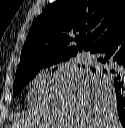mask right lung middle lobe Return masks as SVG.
<instances>
[{
    "instance_id": "right-lung-middle-lobe-1",
    "label": "right lung middle lobe",
    "mask_w": 125,
    "mask_h": 128,
    "mask_svg": "<svg viewBox=\"0 0 125 128\" xmlns=\"http://www.w3.org/2000/svg\"><path fill=\"white\" fill-rule=\"evenodd\" d=\"M70 59L52 58L49 60L34 63L24 69L18 70L15 75L13 96L19 93L29 81L41 70L49 68L51 66L60 65L63 62L69 61ZM62 66V65H61ZM99 77L104 78L107 81V76L103 72L96 73ZM98 77V78H99Z\"/></svg>"
}]
</instances>
